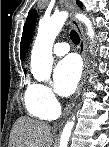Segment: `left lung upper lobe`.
Listing matches in <instances>:
<instances>
[{
    "label": "left lung upper lobe",
    "instance_id": "5c2ea615",
    "mask_svg": "<svg viewBox=\"0 0 109 147\" xmlns=\"http://www.w3.org/2000/svg\"><path fill=\"white\" fill-rule=\"evenodd\" d=\"M78 6H82V4L77 0ZM37 21V11L31 10L28 14V17L26 19L24 29H23V35L21 39V45H20V57L23 60L25 53L28 49V46L31 42V38L35 29V24Z\"/></svg>",
    "mask_w": 109,
    "mask_h": 147
}]
</instances>
